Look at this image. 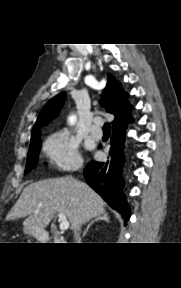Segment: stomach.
<instances>
[{
    "instance_id": "0dacf381",
    "label": "stomach",
    "mask_w": 181,
    "mask_h": 288,
    "mask_svg": "<svg viewBox=\"0 0 181 288\" xmlns=\"http://www.w3.org/2000/svg\"><path fill=\"white\" fill-rule=\"evenodd\" d=\"M24 233L27 234V235H31L33 237H35L36 239L38 240H42L43 239V233L42 231H36L32 228H29V227H25L24 228Z\"/></svg>"
}]
</instances>
